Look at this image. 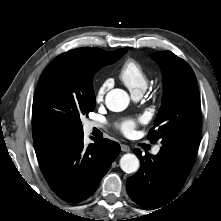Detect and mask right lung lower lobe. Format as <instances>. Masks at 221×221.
Segmentation results:
<instances>
[{
	"label": "right lung lower lobe",
	"mask_w": 221,
	"mask_h": 221,
	"mask_svg": "<svg viewBox=\"0 0 221 221\" xmlns=\"http://www.w3.org/2000/svg\"><path fill=\"white\" fill-rule=\"evenodd\" d=\"M94 141L84 147L82 132L34 144L44 177L56 194L68 202H81L93 194L120 152L117 142Z\"/></svg>",
	"instance_id": "obj_1"
}]
</instances>
